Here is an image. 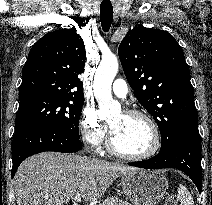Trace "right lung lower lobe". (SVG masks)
Wrapping results in <instances>:
<instances>
[{
  "label": "right lung lower lobe",
  "instance_id": "obj_1",
  "mask_svg": "<svg viewBox=\"0 0 212 205\" xmlns=\"http://www.w3.org/2000/svg\"><path fill=\"white\" fill-rule=\"evenodd\" d=\"M81 149L79 138L46 126L28 127L15 132L12 141V178L27 157L45 151L73 153Z\"/></svg>",
  "mask_w": 212,
  "mask_h": 205
}]
</instances>
